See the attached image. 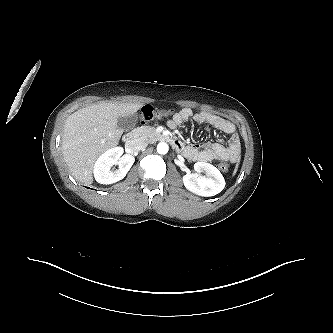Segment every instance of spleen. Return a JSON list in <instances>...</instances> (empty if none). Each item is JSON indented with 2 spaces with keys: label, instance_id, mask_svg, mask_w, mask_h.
Masks as SVG:
<instances>
[{
  "label": "spleen",
  "instance_id": "1",
  "mask_svg": "<svg viewBox=\"0 0 333 333\" xmlns=\"http://www.w3.org/2000/svg\"><path fill=\"white\" fill-rule=\"evenodd\" d=\"M236 171H237V165H236V167H235V170H234V173H233V174H235V173H236Z\"/></svg>",
  "mask_w": 333,
  "mask_h": 333
}]
</instances>
